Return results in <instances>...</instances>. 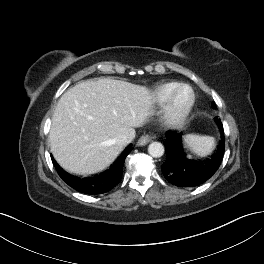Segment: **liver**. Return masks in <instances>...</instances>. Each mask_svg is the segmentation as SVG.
Listing matches in <instances>:
<instances>
[{"instance_id": "obj_1", "label": "liver", "mask_w": 264, "mask_h": 264, "mask_svg": "<svg viewBox=\"0 0 264 264\" xmlns=\"http://www.w3.org/2000/svg\"><path fill=\"white\" fill-rule=\"evenodd\" d=\"M153 105L152 92L144 86L109 78L76 84L53 114L49 140L55 160L75 174L102 171L124 148L116 138L126 135L131 142Z\"/></svg>"}]
</instances>
